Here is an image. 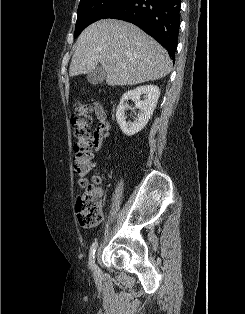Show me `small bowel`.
<instances>
[{
	"instance_id": "small-bowel-1",
	"label": "small bowel",
	"mask_w": 245,
	"mask_h": 314,
	"mask_svg": "<svg viewBox=\"0 0 245 314\" xmlns=\"http://www.w3.org/2000/svg\"><path fill=\"white\" fill-rule=\"evenodd\" d=\"M93 109L98 118V125L93 135L95 150L98 151L109 137L111 126L106 119V113L100 103H95Z\"/></svg>"
}]
</instances>
